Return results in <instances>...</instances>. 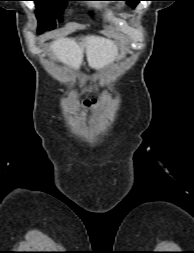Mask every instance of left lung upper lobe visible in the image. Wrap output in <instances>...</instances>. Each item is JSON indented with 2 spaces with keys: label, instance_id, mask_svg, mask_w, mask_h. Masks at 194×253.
<instances>
[{
  "label": "left lung upper lobe",
  "instance_id": "1",
  "mask_svg": "<svg viewBox=\"0 0 194 253\" xmlns=\"http://www.w3.org/2000/svg\"><path fill=\"white\" fill-rule=\"evenodd\" d=\"M126 1L132 8H135V6L142 0H124Z\"/></svg>",
  "mask_w": 194,
  "mask_h": 253
}]
</instances>
